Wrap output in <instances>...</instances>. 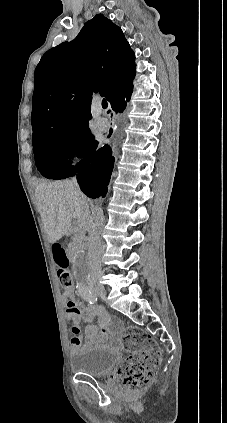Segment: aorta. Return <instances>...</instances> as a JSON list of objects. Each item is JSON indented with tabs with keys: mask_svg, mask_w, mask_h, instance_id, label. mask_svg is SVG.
Returning <instances> with one entry per match:
<instances>
[{
	"mask_svg": "<svg viewBox=\"0 0 227 423\" xmlns=\"http://www.w3.org/2000/svg\"><path fill=\"white\" fill-rule=\"evenodd\" d=\"M90 269V257L86 251L79 252L73 260L72 272L77 278L82 279Z\"/></svg>",
	"mask_w": 227,
	"mask_h": 423,
	"instance_id": "1",
	"label": "aorta"
}]
</instances>
